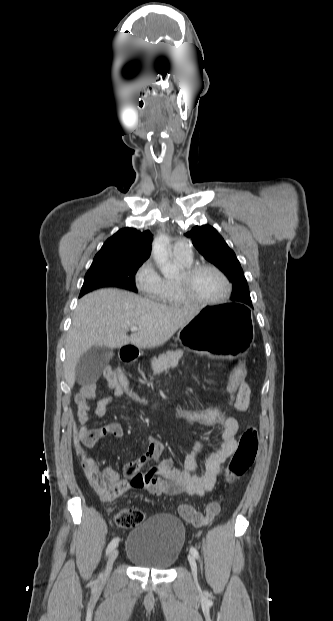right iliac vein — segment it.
I'll list each match as a JSON object with an SVG mask.
<instances>
[{
    "label": "right iliac vein",
    "mask_w": 333,
    "mask_h": 621,
    "mask_svg": "<svg viewBox=\"0 0 333 621\" xmlns=\"http://www.w3.org/2000/svg\"><path fill=\"white\" fill-rule=\"evenodd\" d=\"M117 556H118V550L114 549L110 553V555L108 557V560H107V563H106V567H105V571H104V578H108L109 577V575L111 573V570H112V567H113V563L116 560Z\"/></svg>",
    "instance_id": "obj_1"
}]
</instances>
